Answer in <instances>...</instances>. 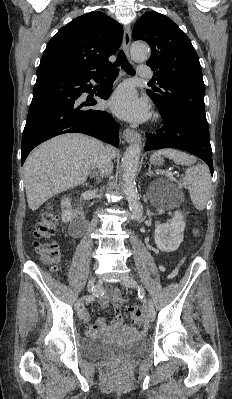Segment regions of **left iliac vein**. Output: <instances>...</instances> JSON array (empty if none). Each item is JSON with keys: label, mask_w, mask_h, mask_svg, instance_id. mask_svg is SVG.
Here are the masks:
<instances>
[{"label": "left iliac vein", "mask_w": 232, "mask_h": 399, "mask_svg": "<svg viewBox=\"0 0 232 399\" xmlns=\"http://www.w3.org/2000/svg\"><path fill=\"white\" fill-rule=\"evenodd\" d=\"M122 285L129 286V288L131 287V289L139 288L138 281H135L134 278H123ZM147 315H148V322L152 323L155 320V310L153 307L147 308Z\"/></svg>", "instance_id": "1"}]
</instances>
